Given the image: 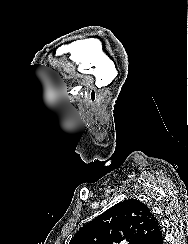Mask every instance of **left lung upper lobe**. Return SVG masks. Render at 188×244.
Segmentation results:
<instances>
[{
	"mask_svg": "<svg viewBox=\"0 0 188 244\" xmlns=\"http://www.w3.org/2000/svg\"><path fill=\"white\" fill-rule=\"evenodd\" d=\"M158 225L144 203L128 199L84 225L69 244H148Z\"/></svg>",
	"mask_w": 188,
	"mask_h": 244,
	"instance_id": "obj_1",
	"label": "left lung upper lobe"
}]
</instances>
